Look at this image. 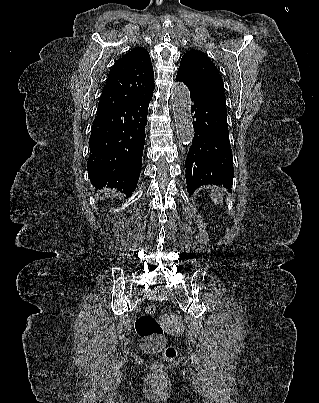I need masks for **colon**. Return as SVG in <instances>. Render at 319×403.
<instances>
[{
	"instance_id": "1",
	"label": "colon",
	"mask_w": 319,
	"mask_h": 403,
	"mask_svg": "<svg viewBox=\"0 0 319 403\" xmlns=\"http://www.w3.org/2000/svg\"><path fill=\"white\" fill-rule=\"evenodd\" d=\"M155 313V307L148 306L145 312L137 318L135 328L141 338L152 339L160 337L163 334V328L155 318ZM160 352L161 357L165 361H173L177 356V351L173 346L163 347Z\"/></svg>"
}]
</instances>
